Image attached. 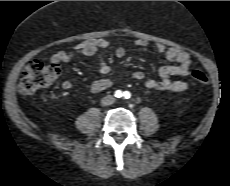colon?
Instances as JSON below:
<instances>
[{"label": "colon", "instance_id": "obj_1", "mask_svg": "<svg viewBox=\"0 0 230 186\" xmlns=\"http://www.w3.org/2000/svg\"><path fill=\"white\" fill-rule=\"evenodd\" d=\"M61 70L56 64H47L40 60L31 61L25 68L19 83V92L22 95H31L35 92L52 85L60 76ZM191 78L199 83L206 85L209 77L200 70H193Z\"/></svg>", "mask_w": 230, "mask_h": 186}]
</instances>
